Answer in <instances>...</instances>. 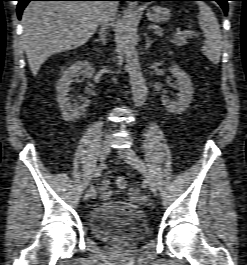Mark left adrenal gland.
Listing matches in <instances>:
<instances>
[{"label": "left adrenal gland", "mask_w": 247, "mask_h": 265, "mask_svg": "<svg viewBox=\"0 0 247 265\" xmlns=\"http://www.w3.org/2000/svg\"><path fill=\"white\" fill-rule=\"evenodd\" d=\"M145 40H146V44H145V49L148 50L152 43L154 42L153 40H150V38L148 37V35L146 34L145 35Z\"/></svg>", "instance_id": "1"}]
</instances>
